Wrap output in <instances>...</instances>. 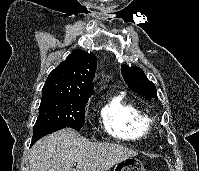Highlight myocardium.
Returning a JSON list of instances; mask_svg holds the SVG:
<instances>
[{
    "instance_id": "f54148a6",
    "label": "myocardium",
    "mask_w": 199,
    "mask_h": 171,
    "mask_svg": "<svg viewBox=\"0 0 199 171\" xmlns=\"http://www.w3.org/2000/svg\"><path fill=\"white\" fill-rule=\"evenodd\" d=\"M148 119H149L150 123H153L154 120L152 118L149 117Z\"/></svg>"
}]
</instances>
